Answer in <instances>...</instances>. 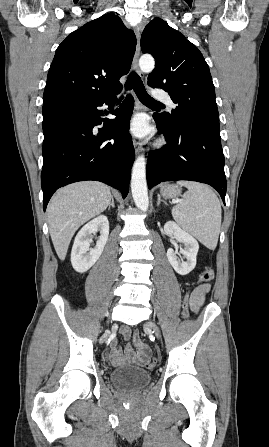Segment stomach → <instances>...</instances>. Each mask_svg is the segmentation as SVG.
Segmentation results:
<instances>
[{
    "label": "stomach",
    "mask_w": 269,
    "mask_h": 447,
    "mask_svg": "<svg viewBox=\"0 0 269 447\" xmlns=\"http://www.w3.org/2000/svg\"><path fill=\"white\" fill-rule=\"evenodd\" d=\"M160 194L163 198H169V200H173V198H177L180 196L181 190L178 186H173V184H161Z\"/></svg>",
    "instance_id": "0dacf381"
}]
</instances>
